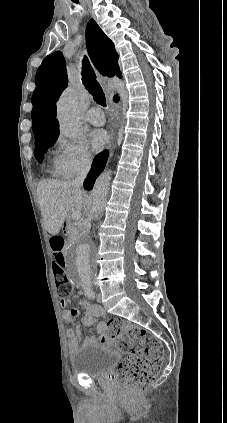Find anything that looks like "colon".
<instances>
[{"instance_id":"colon-1","label":"colon","mask_w":227,"mask_h":423,"mask_svg":"<svg viewBox=\"0 0 227 423\" xmlns=\"http://www.w3.org/2000/svg\"><path fill=\"white\" fill-rule=\"evenodd\" d=\"M63 247L62 237L51 238L56 286L59 293L69 294L72 286L64 271ZM117 334L120 348L127 355L117 368V382L127 395L142 394L152 385L162 365V345L150 331L135 325H120Z\"/></svg>"}]
</instances>
